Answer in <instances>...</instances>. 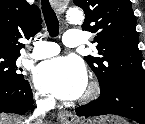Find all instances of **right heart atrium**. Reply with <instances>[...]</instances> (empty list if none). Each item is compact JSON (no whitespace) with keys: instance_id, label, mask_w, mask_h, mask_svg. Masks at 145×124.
I'll use <instances>...</instances> for the list:
<instances>
[{"instance_id":"1","label":"right heart atrium","mask_w":145,"mask_h":124,"mask_svg":"<svg viewBox=\"0 0 145 124\" xmlns=\"http://www.w3.org/2000/svg\"><path fill=\"white\" fill-rule=\"evenodd\" d=\"M36 97L38 98L39 102L42 104H51L53 101L49 95L40 91L36 93Z\"/></svg>"}]
</instances>
